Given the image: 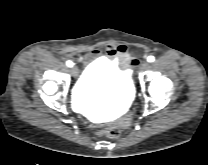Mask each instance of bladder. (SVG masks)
<instances>
[{"label": "bladder", "mask_w": 208, "mask_h": 165, "mask_svg": "<svg viewBox=\"0 0 208 165\" xmlns=\"http://www.w3.org/2000/svg\"><path fill=\"white\" fill-rule=\"evenodd\" d=\"M133 94L129 72L102 57L93 61L80 76L74 98L81 107L114 106L128 103Z\"/></svg>", "instance_id": "bladder-1"}]
</instances>
